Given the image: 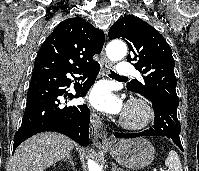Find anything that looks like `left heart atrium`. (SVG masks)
<instances>
[{
	"label": "left heart atrium",
	"mask_w": 199,
	"mask_h": 171,
	"mask_svg": "<svg viewBox=\"0 0 199 171\" xmlns=\"http://www.w3.org/2000/svg\"><path fill=\"white\" fill-rule=\"evenodd\" d=\"M88 100L92 106L103 111L117 113L121 108L120 101L105 84L94 87L89 94Z\"/></svg>",
	"instance_id": "left-heart-atrium-1"
}]
</instances>
